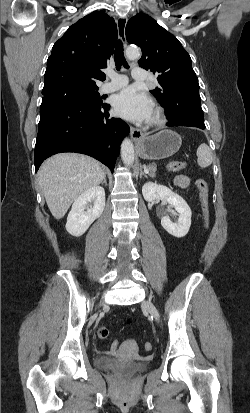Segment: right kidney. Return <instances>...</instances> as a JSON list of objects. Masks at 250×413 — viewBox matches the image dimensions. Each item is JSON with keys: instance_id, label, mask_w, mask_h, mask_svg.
I'll list each match as a JSON object with an SVG mask.
<instances>
[{"instance_id": "1", "label": "right kidney", "mask_w": 250, "mask_h": 413, "mask_svg": "<svg viewBox=\"0 0 250 413\" xmlns=\"http://www.w3.org/2000/svg\"><path fill=\"white\" fill-rule=\"evenodd\" d=\"M104 208V189L96 186L86 190L72 205L67 217V232L77 237L83 235L89 226L102 215Z\"/></svg>"}]
</instances>
